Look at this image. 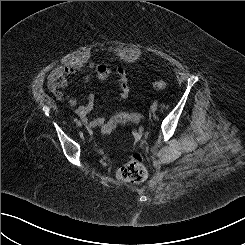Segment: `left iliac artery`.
<instances>
[{
    "label": "left iliac artery",
    "mask_w": 245,
    "mask_h": 245,
    "mask_svg": "<svg viewBox=\"0 0 245 245\" xmlns=\"http://www.w3.org/2000/svg\"><path fill=\"white\" fill-rule=\"evenodd\" d=\"M153 104L157 105V104H158V102H157V101H154V103H153Z\"/></svg>",
    "instance_id": "left-iliac-artery-1"
}]
</instances>
